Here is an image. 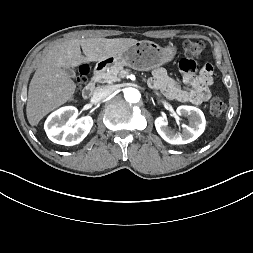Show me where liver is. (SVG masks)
I'll list each match as a JSON object with an SVG mask.
<instances>
[{"instance_id":"liver-1","label":"liver","mask_w":253,"mask_h":253,"mask_svg":"<svg viewBox=\"0 0 253 253\" xmlns=\"http://www.w3.org/2000/svg\"><path fill=\"white\" fill-rule=\"evenodd\" d=\"M137 42L132 38H87L63 40L51 47L29 85L26 114L30 125H37L49 112L74 99L76 84L64 68L105 60Z\"/></svg>"}]
</instances>
